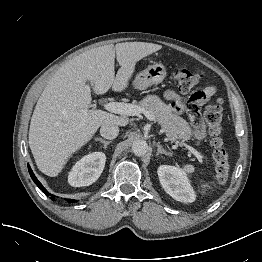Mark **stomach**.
<instances>
[{"label": "stomach", "mask_w": 262, "mask_h": 262, "mask_svg": "<svg viewBox=\"0 0 262 262\" xmlns=\"http://www.w3.org/2000/svg\"><path fill=\"white\" fill-rule=\"evenodd\" d=\"M166 75L165 66L161 63H155L139 72L133 81V85L138 90H146L154 84L162 83Z\"/></svg>", "instance_id": "obj_1"}]
</instances>
